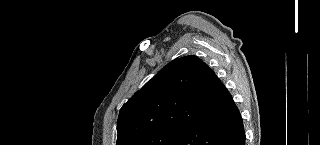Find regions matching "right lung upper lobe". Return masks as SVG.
Segmentation results:
<instances>
[{
  "label": "right lung upper lobe",
  "instance_id": "cb5924a9",
  "mask_svg": "<svg viewBox=\"0 0 320 145\" xmlns=\"http://www.w3.org/2000/svg\"><path fill=\"white\" fill-rule=\"evenodd\" d=\"M222 82L198 57L177 58L120 109L117 145H132L156 131L186 128L219 107Z\"/></svg>",
  "mask_w": 320,
  "mask_h": 145
}]
</instances>
